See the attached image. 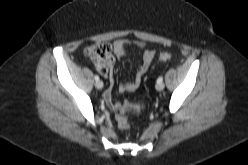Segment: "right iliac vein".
<instances>
[{
	"instance_id": "1",
	"label": "right iliac vein",
	"mask_w": 248,
	"mask_h": 165,
	"mask_svg": "<svg viewBox=\"0 0 248 165\" xmlns=\"http://www.w3.org/2000/svg\"><path fill=\"white\" fill-rule=\"evenodd\" d=\"M95 87H96L97 89H102V88H103V82L100 81V80L96 81V82H95Z\"/></svg>"
}]
</instances>
